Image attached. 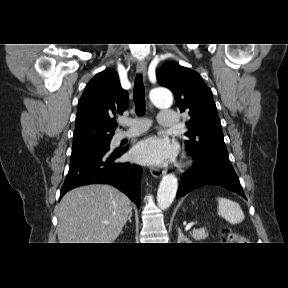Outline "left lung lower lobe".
<instances>
[{"label": "left lung lower lobe", "mask_w": 288, "mask_h": 288, "mask_svg": "<svg viewBox=\"0 0 288 288\" xmlns=\"http://www.w3.org/2000/svg\"><path fill=\"white\" fill-rule=\"evenodd\" d=\"M205 185L225 187L246 199L233 167L214 160H199L196 158H194L193 167L181 177L177 198Z\"/></svg>", "instance_id": "left-lung-lower-lobe-1"}]
</instances>
